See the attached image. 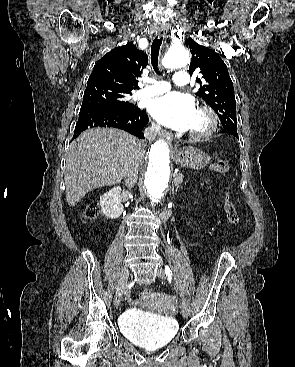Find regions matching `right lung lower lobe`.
<instances>
[{
  "instance_id": "obj_1",
  "label": "right lung lower lobe",
  "mask_w": 295,
  "mask_h": 367,
  "mask_svg": "<svg viewBox=\"0 0 295 367\" xmlns=\"http://www.w3.org/2000/svg\"><path fill=\"white\" fill-rule=\"evenodd\" d=\"M148 121L146 111L139 108L131 111L109 109L84 110L79 113L73 139L77 138L84 130L92 127H115L139 138H144L142 130L148 124Z\"/></svg>"
}]
</instances>
